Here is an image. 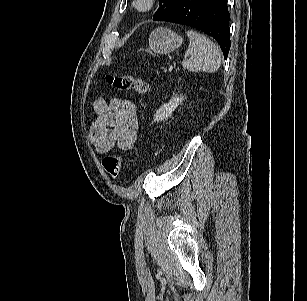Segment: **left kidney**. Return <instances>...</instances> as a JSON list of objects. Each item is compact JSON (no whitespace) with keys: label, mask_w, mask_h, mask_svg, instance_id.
Segmentation results:
<instances>
[{"label":"left kidney","mask_w":307,"mask_h":301,"mask_svg":"<svg viewBox=\"0 0 307 301\" xmlns=\"http://www.w3.org/2000/svg\"><path fill=\"white\" fill-rule=\"evenodd\" d=\"M183 100L184 97L181 95L172 97L168 103L164 104L156 111L154 115V122H159L170 117L173 111L182 103Z\"/></svg>","instance_id":"obj_1"}]
</instances>
